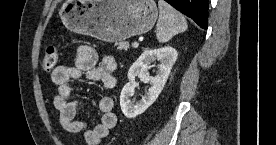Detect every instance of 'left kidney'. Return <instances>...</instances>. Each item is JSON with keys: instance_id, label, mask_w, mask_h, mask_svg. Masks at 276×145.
Returning <instances> with one entry per match:
<instances>
[{"instance_id": "obj_1", "label": "left kidney", "mask_w": 276, "mask_h": 145, "mask_svg": "<svg viewBox=\"0 0 276 145\" xmlns=\"http://www.w3.org/2000/svg\"><path fill=\"white\" fill-rule=\"evenodd\" d=\"M178 53L172 47H162L159 49H148L132 64L128 71L129 82L123 87L120 95V106L123 114L131 119L142 114L150 107L162 92L168 79L170 71L177 59ZM159 61L158 71L155 77L150 76L148 69L154 61ZM138 76L143 82H151L149 91L142 96L141 100L134 104L130 97L134 91L133 82Z\"/></svg>"}]
</instances>
